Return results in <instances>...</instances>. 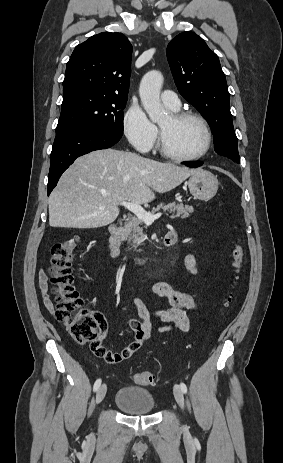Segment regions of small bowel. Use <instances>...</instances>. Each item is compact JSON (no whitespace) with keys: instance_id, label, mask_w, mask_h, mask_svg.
Listing matches in <instances>:
<instances>
[{"instance_id":"small-bowel-1","label":"small bowel","mask_w":283,"mask_h":463,"mask_svg":"<svg viewBox=\"0 0 283 463\" xmlns=\"http://www.w3.org/2000/svg\"><path fill=\"white\" fill-rule=\"evenodd\" d=\"M173 232L177 235L176 231ZM185 266L190 273H197L194 255L189 254L185 257ZM39 285L46 306L52 311L53 305L47 295V275L44 271H41L39 274ZM152 291L156 296L167 299L170 306L165 309L153 311L140 298L135 297L133 299L140 319H131L129 321V327L134 333V338L125 348L117 353L119 356L118 362L131 358V356L150 339L154 330L153 318H156L162 324L159 327L161 331L179 330L187 332L190 329V320L186 311H196L198 309V303L194 297L188 293L174 289L166 282L155 283L152 287Z\"/></svg>"}]
</instances>
